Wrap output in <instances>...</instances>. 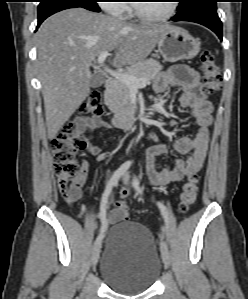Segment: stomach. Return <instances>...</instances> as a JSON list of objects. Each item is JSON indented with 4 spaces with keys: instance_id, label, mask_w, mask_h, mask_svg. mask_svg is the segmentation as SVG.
<instances>
[{
    "instance_id": "stomach-1",
    "label": "stomach",
    "mask_w": 248,
    "mask_h": 299,
    "mask_svg": "<svg viewBox=\"0 0 248 299\" xmlns=\"http://www.w3.org/2000/svg\"><path fill=\"white\" fill-rule=\"evenodd\" d=\"M162 58L176 62L194 58L200 51L199 43L184 29L170 26L157 43Z\"/></svg>"
}]
</instances>
